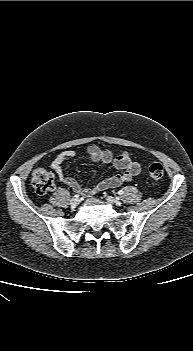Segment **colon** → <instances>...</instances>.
<instances>
[{
  "label": "colon",
  "mask_w": 193,
  "mask_h": 351,
  "mask_svg": "<svg viewBox=\"0 0 193 351\" xmlns=\"http://www.w3.org/2000/svg\"><path fill=\"white\" fill-rule=\"evenodd\" d=\"M148 176L152 180H160L164 176L163 165L159 162H154L148 167ZM31 184L39 195H44L51 191L55 186L53 175L44 168H37L31 175Z\"/></svg>",
  "instance_id": "5ec220e1"
}]
</instances>
